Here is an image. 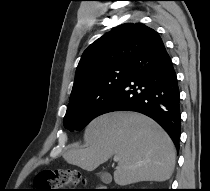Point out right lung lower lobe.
<instances>
[{"label":"right lung lower lobe","instance_id":"98d812e1","mask_svg":"<svg viewBox=\"0 0 210 191\" xmlns=\"http://www.w3.org/2000/svg\"><path fill=\"white\" fill-rule=\"evenodd\" d=\"M143 113L169 134L176 148L180 138V94L176 73L157 33L129 64L127 78L101 108L104 113Z\"/></svg>","mask_w":210,"mask_h":191}]
</instances>
